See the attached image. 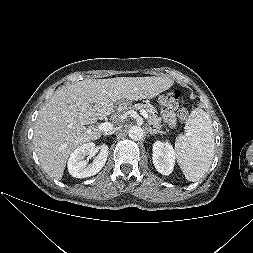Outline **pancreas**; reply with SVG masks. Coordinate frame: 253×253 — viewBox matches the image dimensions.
I'll use <instances>...</instances> for the list:
<instances>
[{"label":"pancreas","mask_w":253,"mask_h":253,"mask_svg":"<svg viewBox=\"0 0 253 253\" xmlns=\"http://www.w3.org/2000/svg\"><path fill=\"white\" fill-rule=\"evenodd\" d=\"M134 109L145 110L148 113V123L156 128L161 129V118L157 115V110L150 104L138 103L133 106ZM162 132V131H161Z\"/></svg>","instance_id":"obj_1"}]
</instances>
